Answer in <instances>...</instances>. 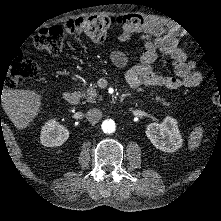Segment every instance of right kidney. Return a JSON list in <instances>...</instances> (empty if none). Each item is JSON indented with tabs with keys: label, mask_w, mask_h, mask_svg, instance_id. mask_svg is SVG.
<instances>
[{
	"label": "right kidney",
	"mask_w": 221,
	"mask_h": 221,
	"mask_svg": "<svg viewBox=\"0 0 221 221\" xmlns=\"http://www.w3.org/2000/svg\"><path fill=\"white\" fill-rule=\"evenodd\" d=\"M70 137V130L59 122L58 116L48 118L41 126L39 140L45 147H58Z\"/></svg>",
	"instance_id": "1"
}]
</instances>
